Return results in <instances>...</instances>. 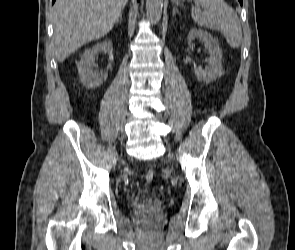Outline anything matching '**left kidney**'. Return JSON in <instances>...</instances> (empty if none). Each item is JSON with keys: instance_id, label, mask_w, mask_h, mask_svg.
<instances>
[{"instance_id": "obj_1", "label": "left kidney", "mask_w": 295, "mask_h": 250, "mask_svg": "<svg viewBox=\"0 0 295 250\" xmlns=\"http://www.w3.org/2000/svg\"><path fill=\"white\" fill-rule=\"evenodd\" d=\"M196 38H199L204 43L209 53V57L205 60L209 66L205 70L200 67L195 68L194 74L199 81H204L206 83L213 82L218 76L222 75V51L219 47V42L208 32L193 28L187 37L190 48L193 46L192 41Z\"/></svg>"}]
</instances>
